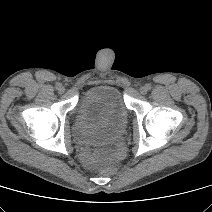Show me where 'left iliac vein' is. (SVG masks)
Returning <instances> with one entry per match:
<instances>
[{
  "label": "left iliac vein",
  "instance_id": "left-iliac-vein-1",
  "mask_svg": "<svg viewBox=\"0 0 212 212\" xmlns=\"http://www.w3.org/2000/svg\"><path fill=\"white\" fill-rule=\"evenodd\" d=\"M147 88H146V86H142L141 88H140V93L142 94V95H145L146 93H147Z\"/></svg>",
  "mask_w": 212,
  "mask_h": 212
}]
</instances>
